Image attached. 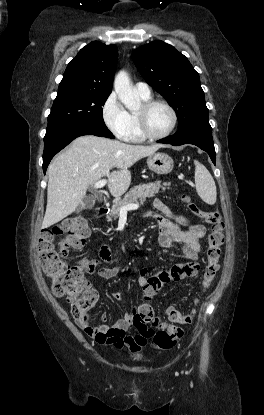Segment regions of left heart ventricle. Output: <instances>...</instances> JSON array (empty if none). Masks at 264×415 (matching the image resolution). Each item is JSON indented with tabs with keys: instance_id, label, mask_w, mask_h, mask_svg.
Wrapping results in <instances>:
<instances>
[{
	"instance_id": "1",
	"label": "left heart ventricle",
	"mask_w": 264,
	"mask_h": 415,
	"mask_svg": "<svg viewBox=\"0 0 264 415\" xmlns=\"http://www.w3.org/2000/svg\"><path fill=\"white\" fill-rule=\"evenodd\" d=\"M146 120L150 133L160 135L171 126L172 115L166 107L157 105L147 112Z\"/></svg>"
}]
</instances>
